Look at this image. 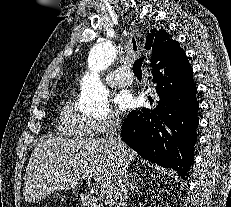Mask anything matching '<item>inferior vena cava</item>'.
I'll return each mask as SVG.
<instances>
[{"mask_svg":"<svg viewBox=\"0 0 231 207\" xmlns=\"http://www.w3.org/2000/svg\"><path fill=\"white\" fill-rule=\"evenodd\" d=\"M106 143L111 149L122 158L124 157V143L121 139V121L118 116L112 115L106 127ZM128 195V173L122 164L117 172L114 183V198L117 207L127 206Z\"/></svg>","mask_w":231,"mask_h":207,"instance_id":"obj_1","label":"inferior vena cava"}]
</instances>
